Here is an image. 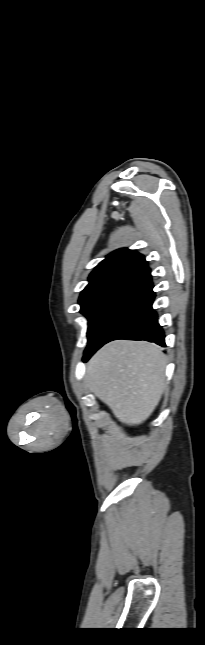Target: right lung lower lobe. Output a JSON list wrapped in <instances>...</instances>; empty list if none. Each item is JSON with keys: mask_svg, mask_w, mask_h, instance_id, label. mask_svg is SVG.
<instances>
[{"mask_svg": "<svg viewBox=\"0 0 205 645\" xmlns=\"http://www.w3.org/2000/svg\"><path fill=\"white\" fill-rule=\"evenodd\" d=\"M155 293L151 291L150 302L135 316L119 327L105 342L116 339L146 340L160 346H165L164 332L157 320V314L152 308ZM103 344V345H104ZM98 350V349H97ZM96 350L86 353L84 361L89 359Z\"/></svg>", "mask_w": 205, "mask_h": 645, "instance_id": "right-lung-lower-lobe-1", "label": "right lung lower lobe"}]
</instances>
